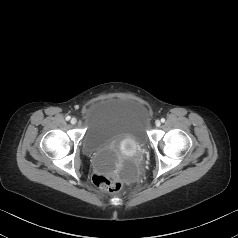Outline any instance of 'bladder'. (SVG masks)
Returning <instances> with one entry per match:
<instances>
[{"label":"bladder","mask_w":238,"mask_h":238,"mask_svg":"<svg viewBox=\"0 0 238 238\" xmlns=\"http://www.w3.org/2000/svg\"><path fill=\"white\" fill-rule=\"evenodd\" d=\"M82 119V150L98 172L112 173L116 169V148L122 142L137 147L147 143L149 110L137 98L108 96L97 99L85 107Z\"/></svg>","instance_id":"bladder-1"}]
</instances>
